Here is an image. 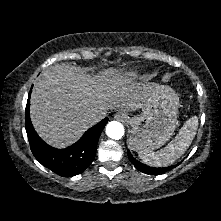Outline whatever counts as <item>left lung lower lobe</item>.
I'll use <instances>...</instances> for the list:
<instances>
[{
    "mask_svg": "<svg viewBox=\"0 0 221 221\" xmlns=\"http://www.w3.org/2000/svg\"><path fill=\"white\" fill-rule=\"evenodd\" d=\"M128 158L130 160V162L141 172L146 173V174H159V173H165L173 168H175L176 166H178L180 163L176 164V165H172V166H168L165 168H153V167H149L145 164L140 163L139 161H137L130 153V151L128 150Z\"/></svg>",
    "mask_w": 221,
    "mask_h": 221,
    "instance_id": "left-lung-lower-lobe-1",
    "label": "left lung lower lobe"
}]
</instances>
